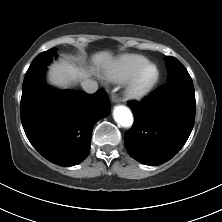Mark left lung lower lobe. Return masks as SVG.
Segmentation results:
<instances>
[{
    "label": "left lung lower lobe",
    "instance_id": "0a47b994",
    "mask_svg": "<svg viewBox=\"0 0 222 222\" xmlns=\"http://www.w3.org/2000/svg\"><path fill=\"white\" fill-rule=\"evenodd\" d=\"M134 125L124 135L129 155L150 166L170 160L187 141L195 121L191 77L171 80L140 102L128 103Z\"/></svg>",
    "mask_w": 222,
    "mask_h": 222
}]
</instances>
